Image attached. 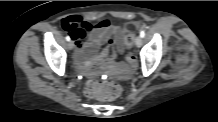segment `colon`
<instances>
[{
  "label": "colon",
  "instance_id": "1",
  "mask_svg": "<svg viewBox=\"0 0 218 122\" xmlns=\"http://www.w3.org/2000/svg\"><path fill=\"white\" fill-rule=\"evenodd\" d=\"M134 27L131 24L128 28V33L125 39V44L128 48L133 45L134 42ZM116 41L114 38L106 39V47L100 50L97 55H91L84 60L82 64H78V77L86 78L89 72L95 70L96 65L115 63L118 61L119 56L114 46ZM126 60L132 68H136L137 61L132 53H127ZM85 93L88 97L97 98L100 100H113L122 93V86L116 81H99L92 77L86 84Z\"/></svg>",
  "mask_w": 218,
  "mask_h": 122
}]
</instances>
